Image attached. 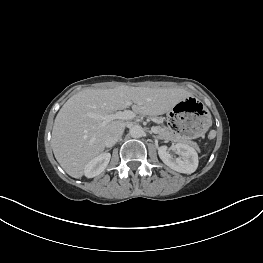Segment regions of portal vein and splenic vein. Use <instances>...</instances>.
Wrapping results in <instances>:
<instances>
[{"label":"portal vein and splenic vein","mask_w":263,"mask_h":263,"mask_svg":"<svg viewBox=\"0 0 263 263\" xmlns=\"http://www.w3.org/2000/svg\"><path fill=\"white\" fill-rule=\"evenodd\" d=\"M130 104V103H129ZM89 117L93 118V119H98L102 121V125H105L113 120L119 119V120H128V119H132L135 117V114L133 111L131 110H125V111H117L113 114H108V115H100V114H96V113H89L88 114ZM152 132L157 134V128L155 126H153L151 128Z\"/></svg>","instance_id":"portal-vein-and-splenic-vein-1"}]
</instances>
